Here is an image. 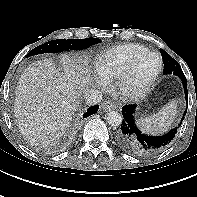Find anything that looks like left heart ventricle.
<instances>
[{
  "label": "left heart ventricle",
  "instance_id": "obj_1",
  "mask_svg": "<svg viewBox=\"0 0 197 197\" xmlns=\"http://www.w3.org/2000/svg\"><path fill=\"white\" fill-rule=\"evenodd\" d=\"M158 64V58L154 55L144 58L134 71L131 87L138 89L144 86L157 71Z\"/></svg>",
  "mask_w": 197,
  "mask_h": 197
}]
</instances>
